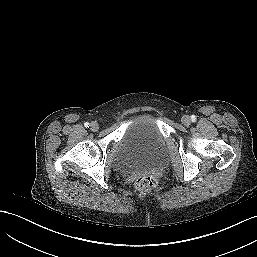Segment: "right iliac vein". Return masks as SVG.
Wrapping results in <instances>:
<instances>
[{"label":"right iliac vein","instance_id":"1","mask_svg":"<svg viewBox=\"0 0 257 257\" xmlns=\"http://www.w3.org/2000/svg\"><path fill=\"white\" fill-rule=\"evenodd\" d=\"M90 129L94 132L97 131L99 129V124L97 122H92L90 125Z\"/></svg>","mask_w":257,"mask_h":257}]
</instances>
